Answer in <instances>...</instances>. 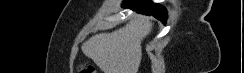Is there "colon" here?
I'll return each instance as SVG.
<instances>
[{"instance_id":"5ec220e1","label":"colon","mask_w":244,"mask_h":73,"mask_svg":"<svg viewBox=\"0 0 244 73\" xmlns=\"http://www.w3.org/2000/svg\"><path fill=\"white\" fill-rule=\"evenodd\" d=\"M79 73H96L95 68L91 65H82L78 69Z\"/></svg>"}]
</instances>
